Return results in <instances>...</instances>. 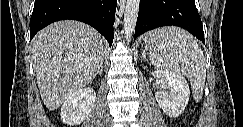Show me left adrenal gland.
<instances>
[{
	"label": "left adrenal gland",
	"instance_id": "obj_1",
	"mask_svg": "<svg viewBox=\"0 0 243 127\" xmlns=\"http://www.w3.org/2000/svg\"><path fill=\"white\" fill-rule=\"evenodd\" d=\"M141 60H147V59H146L145 52H142Z\"/></svg>",
	"mask_w": 243,
	"mask_h": 127
}]
</instances>
